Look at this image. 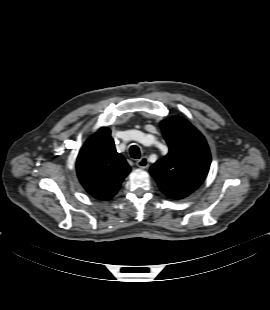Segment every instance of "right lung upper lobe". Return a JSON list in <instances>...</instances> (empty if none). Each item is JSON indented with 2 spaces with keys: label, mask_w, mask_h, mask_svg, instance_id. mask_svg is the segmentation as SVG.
<instances>
[{
  "label": "right lung upper lobe",
  "mask_w": 270,
  "mask_h": 310,
  "mask_svg": "<svg viewBox=\"0 0 270 310\" xmlns=\"http://www.w3.org/2000/svg\"><path fill=\"white\" fill-rule=\"evenodd\" d=\"M76 169L85 190L99 200H109L119 190L131 168L115 149L111 131L100 128L81 148Z\"/></svg>",
  "instance_id": "right-lung-upper-lobe-1"
}]
</instances>
